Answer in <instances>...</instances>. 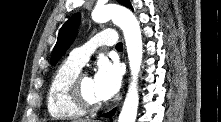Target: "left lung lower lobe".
Returning <instances> with one entry per match:
<instances>
[{
    "label": "left lung lower lobe",
    "instance_id": "1",
    "mask_svg": "<svg viewBox=\"0 0 221 122\" xmlns=\"http://www.w3.org/2000/svg\"><path fill=\"white\" fill-rule=\"evenodd\" d=\"M116 109L111 110L110 112L103 115V117H112L115 113Z\"/></svg>",
    "mask_w": 221,
    "mask_h": 122
}]
</instances>
